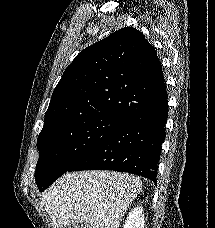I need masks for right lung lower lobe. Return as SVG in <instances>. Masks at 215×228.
<instances>
[{
    "label": "right lung lower lobe",
    "mask_w": 215,
    "mask_h": 228,
    "mask_svg": "<svg viewBox=\"0 0 215 228\" xmlns=\"http://www.w3.org/2000/svg\"><path fill=\"white\" fill-rule=\"evenodd\" d=\"M167 98L125 119L68 171L128 172L156 184L161 146L166 137Z\"/></svg>",
    "instance_id": "right-lung-lower-lobe-1"
}]
</instances>
